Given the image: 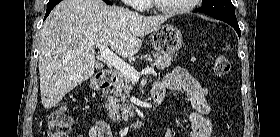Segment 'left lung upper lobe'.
Here are the masks:
<instances>
[{"instance_id": "1", "label": "left lung upper lobe", "mask_w": 280, "mask_h": 137, "mask_svg": "<svg viewBox=\"0 0 280 137\" xmlns=\"http://www.w3.org/2000/svg\"><path fill=\"white\" fill-rule=\"evenodd\" d=\"M195 12H203L217 19L237 21L231 0H203L202 7Z\"/></svg>"}]
</instances>
